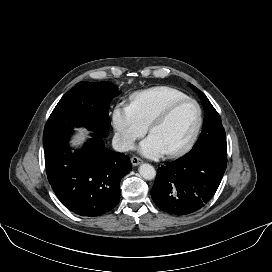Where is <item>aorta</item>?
<instances>
[{
	"instance_id": "aorta-1",
	"label": "aorta",
	"mask_w": 272,
	"mask_h": 272,
	"mask_svg": "<svg viewBox=\"0 0 272 272\" xmlns=\"http://www.w3.org/2000/svg\"><path fill=\"white\" fill-rule=\"evenodd\" d=\"M140 175L146 180H152L156 176L155 168L150 164H142L139 167Z\"/></svg>"
}]
</instances>
